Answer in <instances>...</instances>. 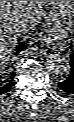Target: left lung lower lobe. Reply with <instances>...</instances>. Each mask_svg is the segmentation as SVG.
I'll list each match as a JSON object with an SVG mask.
<instances>
[{
  "instance_id": "left-lung-lower-lobe-1",
  "label": "left lung lower lobe",
  "mask_w": 74,
  "mask_h": 122,
  "mask_svg": "<svg viewBox=\"0 0 74 122\" xmlns=\"http://www.w3.org/2000/svg\"><path fill=\"white\" fill-rule=\"evenodd\" d=\"M71 72L69 76L62 82L58 83V87L68 94H74V54L71 56Z\"/></svg>"
}]
</instances>
